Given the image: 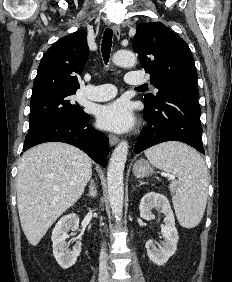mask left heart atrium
Returning a JSON list of instances; mask_svg holds the SVG:
<instances>
[{"label": "left heart atrium", "instance_id": "left-heart-atrium-1", "mask_svg": "<svg viewBox=\"0 0 232 282\" xmlns=\"http://www.w3.org/2000/svg\"><path fill=\"white\" fill-rule=\"evenodd\" d=\"M96 117L101 128L111 131H124L133 124L132 110L125 100H117L99 107Z\"/></svg>", "mask_w": 232, "mask_h": 282}]
</instances>
